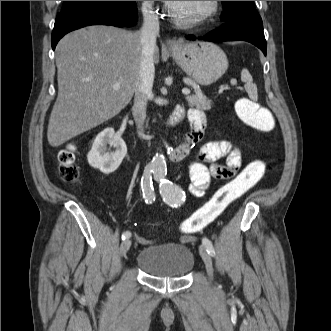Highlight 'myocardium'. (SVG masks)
<instances>
[{
    "label": "myocardium",
    "instance_id": "f54148a6",
    "mask_svg": "<svg viewBox=\"0 0 331 331\" xmlns=\"http://www.w3.org/2000/svg\"><path fill=\"white\" fill-rule=\"evenodd\" d=\"M218 9H219V1H210L208 9L195 17L181 18L174 13V11L171 8V5H168L167 13L171 18V20L177 25L189 27V26H197L208 21L217 14Z\"/></svg>",
    "mask_w": 331,
    "mask_h": 331
}]
</instances>
